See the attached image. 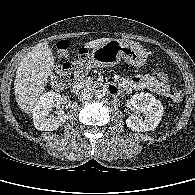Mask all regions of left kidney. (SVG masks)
<instances>
[{
  "label": "left kidney",
  "mask_w": 195,
  "mask_h": 195,
  "mask_svg": "<svg viewBox=\"0 0 195 195\" xmlns=\"http://www.w3.org/2000/svg\"><path fill=\"white\" fill-rule=\"evenodd\" d=\"M130 104L137 113H143L144 119L131 115L126 125L136 132L150 131L156 128L163 116V105L150 93H138L131 97Z\"/></svg>",
  "instance_id": "1"
}]
</instances>
